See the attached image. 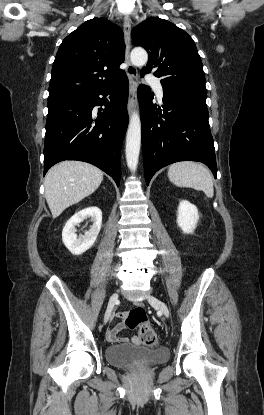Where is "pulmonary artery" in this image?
Instances as JSON below:
<instances>
[{"instance_id":"obj_1","label":"pulmonary artery","mask_w":264,"mask_h":415,"mask_svg":"<svg viewBox=\"0 0 264 415\" xmlns=\"http://www.w3.org/2000/svg\"><path fill=\"white\" fill-rule=\"evenodd\" d=\"M146 80L149 81L152 84L157 96L162 98L163 97V88L160 84V81L158 79L150 76V75L146 76Z\"/></svg>"}]
</instances>
